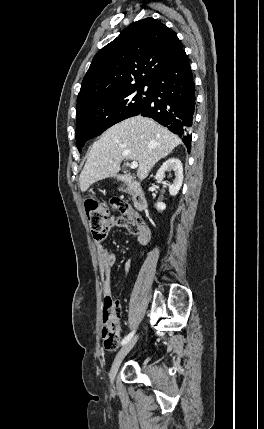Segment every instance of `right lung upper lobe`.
I'll return each mask as SVG.
<instances>
[{
	"instance_id": "right-lung-upper-lobe-1",
	"label": "right lung upper lobe",
	"mask_w": 264,
	"mask_h": 429,
	"mask_svg": "<svg viewBox=\"0 0 264 429\" xmlns=\"http://www.w3.org/2000/svg\"><path fill=\"white\" fill-rule=\"evenodd\" d=\"M184 52L176 33L151 17L130 24L93 58L77 107L137 84H151Z\"/></svg>"
}]
</instances>
